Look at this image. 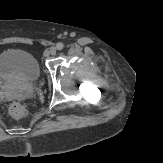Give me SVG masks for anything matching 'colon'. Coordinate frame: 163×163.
<instances>
[{
    "label": "colon",
    "mask_w": 163,
    "mask_h": 163,
    "mask_svg": "<svg viewBox=\"0 0 163 163\" xmlns=\"http://www.w3.org/2000/svg\"><path fill=\"white\" fill-rule=\"evenodd\" d=\"M10 113L15 118L20 119L27 115V110L23 104H21L19 102H14L10 107Z\"/></svg>",
    "instance_id": "5ec220e1"
}]
</instances>
